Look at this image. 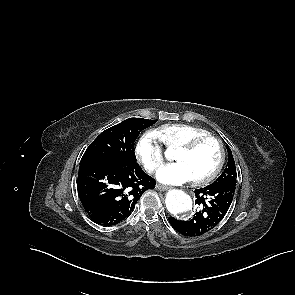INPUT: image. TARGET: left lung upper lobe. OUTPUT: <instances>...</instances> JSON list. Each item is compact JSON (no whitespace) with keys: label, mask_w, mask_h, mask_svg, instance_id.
Instances as JSON below:
<instances>
[{"label":"left lung upper lobe","mask_w":295,"mask_h":295,"mask_svg":"<svg viewBox=\"0 0 295 295\" xmlns=\"http://www.w3.org/2000/svg\"><path fill=\"white\" fill-rule=\"evenodd\" d=\"M228 151V164L223 173L216 179V181L212 184L223 183V182H233L236 184V167L235 162L232 156V152L229 147H227Z\"/></svg>","instance_id":"1"}]
</instances>
